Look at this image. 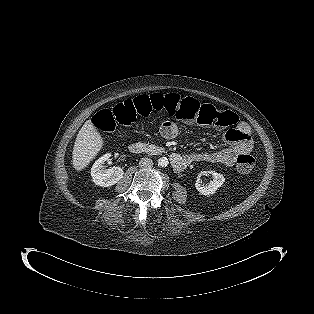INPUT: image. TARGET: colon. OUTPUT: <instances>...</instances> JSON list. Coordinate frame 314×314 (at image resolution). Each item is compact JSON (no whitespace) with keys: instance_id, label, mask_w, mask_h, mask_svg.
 Returning a JSON list of instances; mask_svg holds the SVG:
<instances>
[{"instance_id":"obj_1","label":"colon","mask_w":314,"mask_h":314,"mask_svg":"<svg viewBox=\"0 0 314 314\" xmlns=\"http://www.w3.org/2000/svg\"><path fill=\"white\" fill-rule=\"evenodd\" d=\"M161 111H166L185 123L196 122L220 129L227 128L237 121L229 111H217L212 105L201 104L192 97L174 93H152L125 100L113 109L99 111L93 119V124L102 132L113 133L119 126H131L138 119ZM236 166L241 173H249L255 166V158L248 153L240 154Z\"/></svg>"}]
</instances>
